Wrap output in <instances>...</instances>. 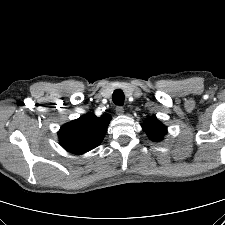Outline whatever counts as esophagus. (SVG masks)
<instances>
[{
    "instance_id": "esophagus-1",
    "label": "esophagus",
    "mask_w": 225,
    "mask_h": 225,
    "mask_svg": "<svg viewBox=\"0 0 225 225\" xmlns=\"http://www.w3.org/2000/svg\"><path fill=\"white\" fill-rule=\"evenodd\" d=\"M115 110L117 115H122L124 113V108L122 106H117Z\"/></svg>"
}]
</instances>
